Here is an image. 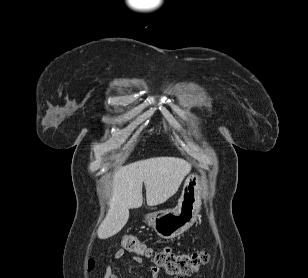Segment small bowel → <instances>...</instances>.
Listing matches in <instances>:
<instances>
[{
	"instance_id": "c3829d8e",
	"label": "small bowel",
	"mask_w": 308,
	"mask_h": 278,
	"mask_svg": "<svg viewBox=\"0 0 308 278\" xmlns=\"http://www.w3.org/2000/svg\"><path fill=\"white\" fill-rule=\"evenodd\" d=\"M158 251H164V252H172V249L169 248V247H163V248H160L158 249ZM124 257V251L123 250H118L115 254H114V259L118 262H120ZM133 261L136 263V264H140L142 259L140 256H133L132 257ZM154 276L153 278H156V273H157V270L154 268ZM103 278H120L117 273L114 272V270L112 269L111 266H106L105 268V272H104V276ZM176 278H181L180 276H177Z\"/></svg>"
}]
</instances>
